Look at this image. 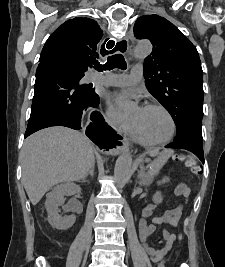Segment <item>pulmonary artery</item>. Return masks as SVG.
Segmentation results:
<instances>
[{
  "label": "pulmonary artery",
  "mask_w": 225,
  "mask_h": 267,
  "mask_svg": "<svg viewBox=\"0 0 225 267\" xmlns=\"http://www.w3.org/2000/svg\"><path fill=\"white\" fill-rule=\"evenodd\" d=\"M143 77V68L140 64H136L132 67L130 74H101L94 73L91 76V81L100 83L107 86H131L138 83Z\"/></svg>",
  "instance_id": "1"
}]
</instances>
